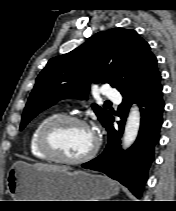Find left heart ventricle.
<instances>
[{
	"label": "left heart ventricle",
	"instance_id": "1",
	"mask_svg": "<svg viewBox=\"0 0 176 211\" xmlns=\"http://www.w3.org/2000/svg\"><path fill=\"white\" fill-rule=\"evenodd\" d=\"M52 141L63 156L78 158L90 151L94 143V137L87 128L67 123L54 130Z\"/></svg>",
	"mask_w": 176,
	"mask_h": 211
}]
</instances>
